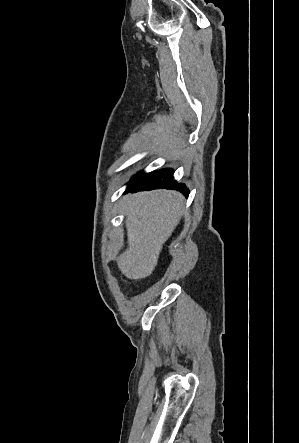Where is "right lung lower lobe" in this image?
I'll use <instances>...</instances> for the list:
<instances>
[{"instance_id":"right-lung-lower-lobe-1","label":"right lung lower lobe","mask_w":299,"mask_h":443,"mask_svg":"<svg viewBox=\"0 0 299 443\" xmlns=\"http://www.w3.org/2000/svg\"><path fill=\"white\" fill-rule=\"evenodd\" d=\"M158 188L179 189V191L183 192L186 196L189 194V190L187 188H184V186L181 184H177V182L174 180L172 169H162L148 173L135 182L129 183L126 192H136Z\"/></svg>"}]
</instances>
